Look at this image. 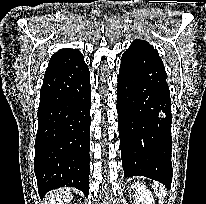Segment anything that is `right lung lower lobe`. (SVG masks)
Masks as SVG:
<instances>
[{"label": "right lung lower lobe", "instance_id": "98d812e1", "mask_svg": "<svg viewBox=\"0 0 206 204\" xmlns=\"http://www.w3.org/2000/svg\"><path fill=\"white\" fill-rule=\"evenodd\" d=\"M90 95L84 59L44 76L34 160L40 197L63 186L89 194Z\"/></svg>", "mask_w": 206, "mask_h": 204}]
</instances>
